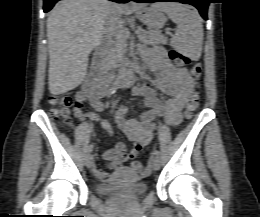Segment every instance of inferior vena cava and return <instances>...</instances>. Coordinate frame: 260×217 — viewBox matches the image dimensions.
I'll return each instance as SVG.
<instances>
[{"mask_svg":"<svg viewBox=\"0 0 260 217\" xmlns=\"http://www.w3.org/2000/svg\"><path fill=\"white\" fill-rule=\"evenodd\" d=\"M120 11L117 7L111 9L108 21L105 27V36L109 42H113L117 34L123 29V22L120 18Z\"/></svg>","mask_w":260,"mask_h":217,"instance_id":"inferior-vena-cava-1","label":"inferior vena cava"}]
</instances>
